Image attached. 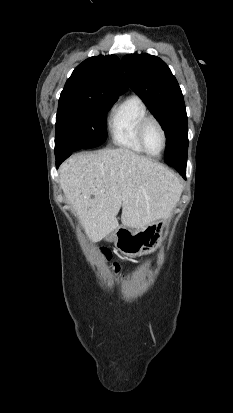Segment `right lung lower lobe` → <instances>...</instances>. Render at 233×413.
<instances>
[{
	"label": "right lung lower lobe",
	"mask_w": 233,
	"mask_h": 413,
	"mask_svg": "<svg viewBox=\"0 0 233 413\" xmlns=\"http://www.w3.org/2000/svg\"><path fill=\"white\" fill-rule=\"evenodd\" d=\"M72 152L69 153H64V154H59L55 155L56 156V167L58 168L59 165L71 155Z\"/></svg>",
	"instance_id": "right-lung-lower-lobe-1"
}]
</instances>
